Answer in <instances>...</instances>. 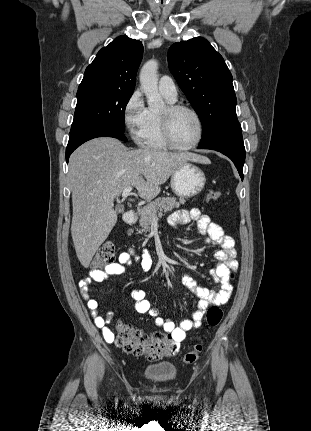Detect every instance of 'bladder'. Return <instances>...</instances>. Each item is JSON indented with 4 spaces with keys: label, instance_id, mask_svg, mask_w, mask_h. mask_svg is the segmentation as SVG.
<instances>
[{
    "label": "bladder",
    "instance_id": "31cf9c89",
    "mask_svg": "<svg viewBox=\"0 0 311 431\" xmlns=\"http://www.w3.org/2000/svg\"><path fill=\"white\" fill-rule=\"evenodd\" d=\"M143 376L154 383H171L177 377V369L167 362L151 364L145 367Z\"/></svg>",
    "mask_w": 311,
    "mask_h": 431
}]
</instances>
